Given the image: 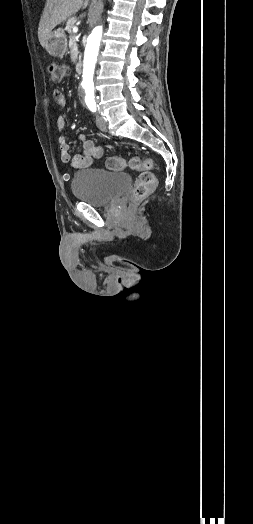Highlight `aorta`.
<instances>
[{"mask_svg":"<svg viewBox=\"0 0 253 524\" xmlns=\"http://www.w3.org/2000/svg\"><path fill=\"white\" fill-rule=\"evenodd\" d=\"M102 37V27H95L88 36L87 45L84 53L82 87L85 90V100H94V70L98 56L100 41Z\"/></svg>","mask_w":253,"mask_h":524,"instance_id":"obj_1","label":"aorta"}]
</instances>
